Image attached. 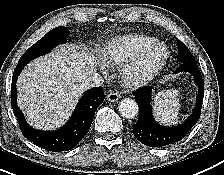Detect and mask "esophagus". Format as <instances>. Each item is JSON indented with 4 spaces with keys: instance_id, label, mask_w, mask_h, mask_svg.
Returning <instances> with one entry per match:
<instances>
[{
    "instance_id": "obj_1",
    "label": "esophagus",
    "mask_w": 224,
    "mask_h": 175,
    "mask_svg": "<svg viewBox=\"0 0 224 175\" xmlns=\"http://www.w3.org/2000/svg\"><path fill=\"white\" fill-rule=\"evenodd\" d=\"M120 99V94L118 92H110L107 95V100L110 102H117Z\"/></svg>"
}]
</instances>
